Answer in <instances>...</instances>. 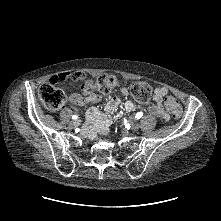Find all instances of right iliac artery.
<instances>
[{
    "mask_svg": "<svg viewBox=\"0 0 221 221\" xmlns=\"http://www.w3.org/2000/svg\"><path fill=\"white\" fill-rule=\"evenodd\" d=\"M77 118H78V117H77L76 115H73V116H72V119H75V120H76Z\"/></svg>",
    "mask_w": 221,
    "mask_h": 221,
    "instance_id": "obj_1",
    "label": "right iliac artery"
}]
</instances>
